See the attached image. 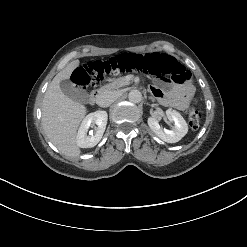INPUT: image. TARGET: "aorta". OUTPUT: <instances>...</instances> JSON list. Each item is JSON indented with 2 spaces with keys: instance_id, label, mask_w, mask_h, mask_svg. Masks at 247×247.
Masks as SVG:
<instances>
[{
  "instance_id": "obj_1",
  "label": "aorta",
  "mask_w": 247,
  "mask_h": 247,
  "mask_svg": "<svg viewBox=\"0 0 247 247\" xmlns=\"http://www.w3.org/2000/svg\"><path fill=\"white\" fill-rule=\"evenodd\" d=\"M128 98L133 103H139L142 100V94L139 90H131L128 94Z\"/></svg>"
}]
</instances>
